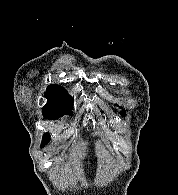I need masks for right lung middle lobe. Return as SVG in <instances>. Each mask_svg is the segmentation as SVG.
<instances>
[{
  "label": "right lung middle lobe",
  "mask_w": 178,
  "mask_h": 195,
  "mask_svg": "<svg viewBox=\"0 0 178 195\" xmlns=\"http://www.w3.org/2000/svg\"><path fill=\"white\" fill-rule=\"evenodd\" d=\"M73 108H67V107H51V106H44L42 109V114L44 118L46 119H58L59 117L65 115V114H71ZM50 140V135L48 133H45L43 135L42 143H41V148L44 147V144H47Z\"/></svg>",
  "instance_id": "dd1d6c3e"
}]
</instances>
